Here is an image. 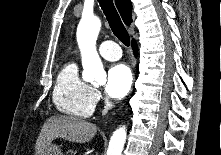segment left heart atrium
I'll list each match as a JSON object with an SVG mask.
<instances>
[{
	"label": "left heart atrium",
	"instance_id": "left-heart-atrium-1",
	"mask_svg": "<svg viewBox=\"0 0 221 155\" xmlns=\"http://www.w3.org/2000/svg\"><path fill=\"white\" fill-rule=\"evenodd\" d=\"M132 73L124 64L112 66L107 73L105 91L108 96L116 99L123 98L130 90Z\"/></svg>",
	"mask_w": 221,
	"mask_h": 155
}]
</instances>
